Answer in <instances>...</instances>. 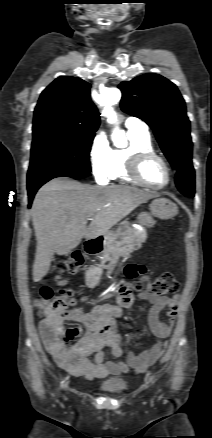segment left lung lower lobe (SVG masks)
Wrapping results in <instances>:
<instances>
[{
    "mask_svg": "<svg viewBox=\"0 0 212 438\" xmlns=\"http://www.w3.org/2000/svg\"><path fill=\"white\" fill-rule=\"evenodd\" d=\"M195 174L192 160H186L176 169V185L179 191L188 196H194Z\"/></svg>",
    "mask_w": 212,
    "mask_h": 438,
    "instance_id": "0a47b994",
    "label": "left lung lower lobe"
}]
</instances>
